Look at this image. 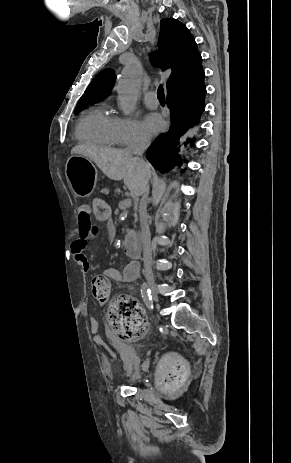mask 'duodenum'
Here are the masks:
<instances>
[{
    "instance_id": "obj_1",
    "label": "duodenum",
    "mask_w": 291,
    "mask_h": 463,
    "mask_svg": "<svg viewBox=\"0 0 291 463\" xmlns=\"http://www.w3.org/2000/svg\"><path fill=\"white\" fill-rule=\"evenodd\" d=\"M123 247L125 252L132 257L133 259H138L141 254V247H140V235L139 233L129 230L127 232V238L123 243ZM136 263V262H132Z\"/></svg>"
}]
</instances>
